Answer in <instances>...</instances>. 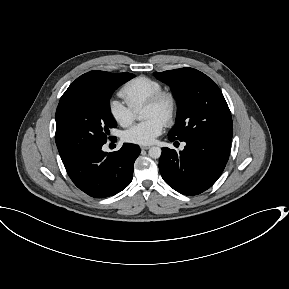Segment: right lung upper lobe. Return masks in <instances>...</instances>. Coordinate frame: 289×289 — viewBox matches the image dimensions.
<instances>
[{"label": "right lung upper lobe", "instance_id": "right-lung-upper-lobe-1", "mask_svg": "<svg viewBox=\"0 0 289 289\" xmlns=\"http://www.w3.org/2000/svg\"><path fill=\"white\" fill-rule=\"evenodd\" d=\"M112 73L105 71H90L78 77L65 91L62 97L80 94L88 91L92 86L106 80Z\"/></svg>", "mask_w": 289, "mask_h": 289}]
</instances>
